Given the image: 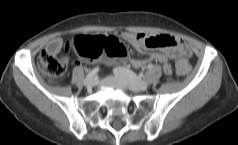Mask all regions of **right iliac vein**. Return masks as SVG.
I'll list each match as a JSON object with an SVG mask.
<instances>
[{
	"label": "right iliac vein",
	"instance_id": "1",
	"mask_svg": "<svg viewBox=\"0 0 238 145\" xmlns=\"http://www.w3.org/2000/svg\"><path fill=\"white\" fill-rule=\"evenodd\" d=\"M95 84V78L94 77H87L84 80V85L88 88H91Z\"/></svg>",
	"mask_w": 238,
	"mask_h": 145
}]
</instances>
